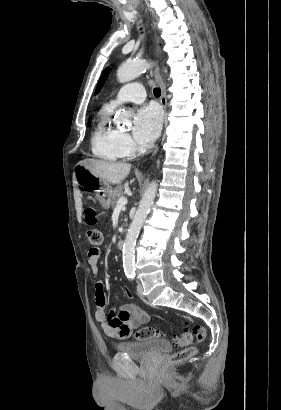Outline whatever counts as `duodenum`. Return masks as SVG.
<instances>
[{"label":"duodenum","mask_w":281,"mask_h":410,"mask_svg":"<svg viewBox=\"0 0 281 410\" xmlns=\"http://www.w3.org/2000/svg\"><path fill=\"white\" fill-rule=\"evenodd\" d=\"M124 247V241L123 240H119L118 242H117V248L118 249H122Z\"/></svg>","instance_id":"obj_1"}]
</instances>
